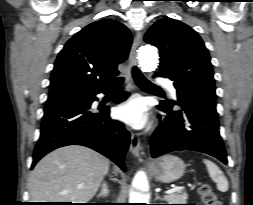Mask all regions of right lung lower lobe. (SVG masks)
<instances>
[{
  "mask_svg": "<svg viewBox=\"0 0 253 205\" xmlns=\"http://www.w3.org/2000/svg\"><path fill=\"white\" fill-rule=\"evenodd\" d=\"M119 79L116 83L120 82ZM109 88V87H108ZM108 88L84 96L79 101L49 104L45 106L40 139L35 147L32 168L47 153L67 145L92 148L125 170L124 157L130 144V134L124 126L109 117V108L91 112L96 94L106 93ZM122 92L115 102L126 99Z\"/></svg>",
  "mask_w": 253,
  "mask_h": 205,
  "instance_id": "1",
  "label": "right lung lower lobe"
}]
</instances>
